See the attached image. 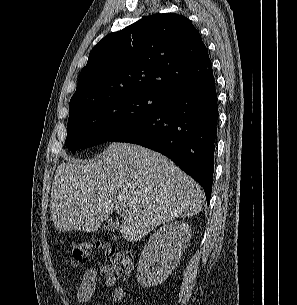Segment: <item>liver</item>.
Instances as JSON below:
<instances>
[{
    "instance_id": "6515ba94",
    "label": "liver",
    "mask_w": 297,
    "mask_h": 305,
    "mask_svg": "<svg viewBox=\"0 0 297 305\" xmlns=\"http://www.w3.org/2000/svg\"><path fill=\"white\" fill-rule=\"evenodd\" d=\"M100 157L58 166L50 201L58 231H96L121 206L120 233L137 241L162 223L201 210L200 186L167 157L127 143L110 144Z\"/></svg>"
}]
</instances>
